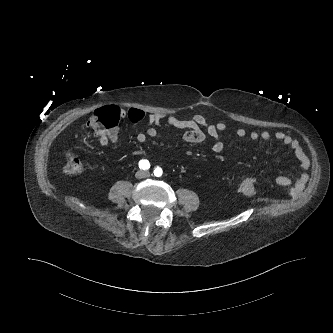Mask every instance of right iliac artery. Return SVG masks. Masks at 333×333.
Returning a JSON list of instances; mask_svg holds the SVG:
<instances>
[{"label": "right iliac artery", "instance_id": "82829eb1", "mask_svg": "<svg viewBox=\"0 0 333 333\" xmlns=\"http://www.w3.org/2000/svg\"><path fill=\"white\" fill-rule=\"evenodd\" d=\"M139 168L142 170H148L150 168V163L146 159H142L139 161Z\"/></svg>", "mask_w": 333, "mask_h": 333}]
</instances>
